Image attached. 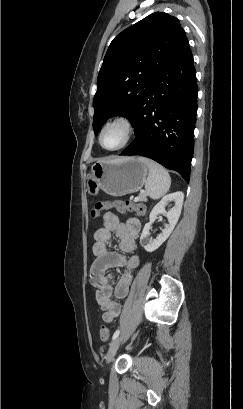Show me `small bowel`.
Segmentation results:
<instances>
[{"label": "small bowel", "instance_id": "1", "mask_svg": "<svg viewBox=\"0 0 243 409\" xmlns=\"http://www.w3.org/2000/svg\"><path fill=\"white\" fill-rule=\"evenodd\" d=\"M103 226L94 232V261L89 269L91 284L95 288V296L103 312V320L112 323L121 312L118 300L126 297L131 283V274L139 264L136 254V240L141 231V223L135 217L128 218L125 223L119 220L116 213L107 211L102 217ZM113 234L119 238L122 255L109 248ZM113 268H121L122 275L114 287L112 276L107 273Z\"/></svg>", "mask_w": 243, "mask_h": 409}]
</instances>
